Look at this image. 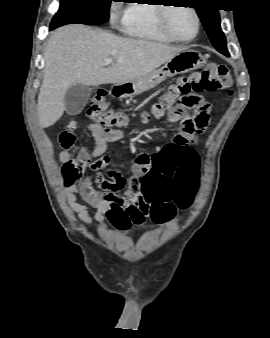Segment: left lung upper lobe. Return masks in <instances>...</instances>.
<instances>
[{
    "instance_id": "1",
    "label": "left lung upper lobe",
    "mask_w": 270,
    "mask_h": 338,
    "mask_svg": "<svg viewBox=\"0 0 270 338\" xmlns=\"http://www.w3.org/2000/svg\"><path fill=\"white\" fill-rule=\"evenodd\" d=\"M215 2V0H199L196 11L213 46L220 53L228 55L226 39L220 27L219 12L214 8Z\"/></svg>"
}]
</instances>
